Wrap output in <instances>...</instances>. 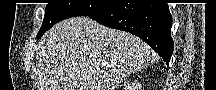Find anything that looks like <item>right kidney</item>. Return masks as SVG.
Returning a JSON list of instances; mask_svg holds the SVG:
<instances>
[{"instance_id":"obj_1","label":"right kidney","mask_w":216,"mask_h":90,"mask_svg":"<svg viewBox=\"0 0 216 90\" xmlns=\"http://www.w3.org/2000/svg\"><path fill=\"white\" fill-rule=\"evenodd\" d=\"M127 90H133V86H131V84H129V86H127Z\"/></svg>"}]
</instances>
